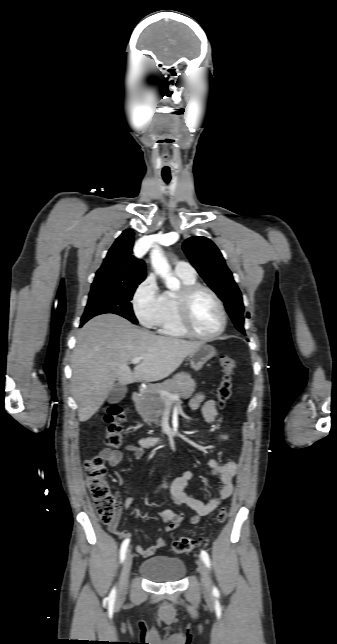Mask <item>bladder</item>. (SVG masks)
Masks as SVG:
<instances>
[{"label": "bladder", "mask_w": 337, "mask_h": 644, "mask_svg": "<svg viewBox=\"0 0 337 644\" xmlns=\"http://www.w3.org/2000/svg\"><path fill=\"white\" fill-rule=\"evenodd\" d=\"M139 572L145 578L158 582H176L186 574V565L183 560L169 556H153L139 566Z\"/></svg>", "instance_id": "bladder-1"}]
</instances>
